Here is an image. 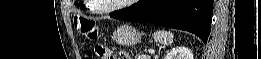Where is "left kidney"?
Returning <instances> with one entry per match:
<instances>
[{
	"label": "left kidney",
	"instance_id": "5707ae66",
	"mask_svg": "<svg viewBox=\"0 0 261 59\" xmlns=\"http://www.w3.org/2000/svg\"><path fill=\"white\" fill-rule=\"evenodd\" d=\"M164 59H193V54L186 47H175L166 54Z\"/></svg>",
	"mask_w": 261,
	"mask_h": 59
}]
</instances>
